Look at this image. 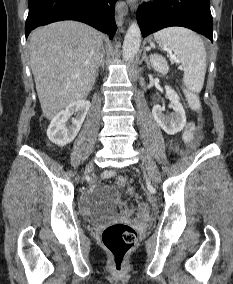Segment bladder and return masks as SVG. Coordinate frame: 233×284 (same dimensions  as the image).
Instances as JSON below:
<instances>
[{"label":"bladder","mask_w":233,"mask_h":284,"mask_svg":"<svg viewBox=\"0 0 233 284\" xmlns=\"http://www.w3.org/2000/svg\"><path fill=\"white\" fill-rule=\"evenodd\" d=\"M116 195L117 192L112 187L100 185L88 195V201L99 206H105L112 203Z\"/></svg>","instance_id":"obj_1"}]
</instances>
